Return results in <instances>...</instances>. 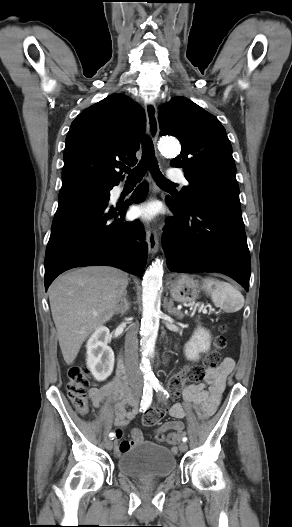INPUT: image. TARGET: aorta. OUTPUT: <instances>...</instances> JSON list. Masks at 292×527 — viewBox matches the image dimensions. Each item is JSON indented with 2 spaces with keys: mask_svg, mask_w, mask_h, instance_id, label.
<instances>
[{
  "mask_svg": "<svg viewBox=\"0 0 292 527\" xmlns=\"http://www.w3.org/2000/svg\"><path fill=\"white\" fill-rule=\"evenodd\" d=\"M161 152L165 155L176 156L181 147L177 140L173 138H163L159 143ZM162 263L156 260L155 263L145 272L142 281V319H141V370L144 378L149 383L155 381V376L151 371L149 357L153 355L155 341L159 329L160 297L159 291L162 285Z\"/></svg>",
  "mask_w": 292,
  "mask_h": 527,
  "instance_id": "762f6f07",
  "label": "aorta"
}]
</instances>
